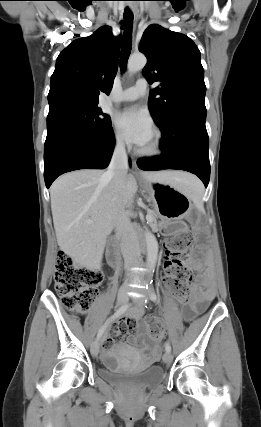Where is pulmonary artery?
I'll list each match as a JSON object with an SVG mask.
<instances>
[{
  "label": "pulmonary artery",
  "mask_w": 261,
  "mask_h": 427,
  "mask_svg": "<svg viewBox=\"0 0 261 427\" xmlns=\"http://www.w3.org/2000/svg\"><path fill=\"white\" fill-rule=\"evenodd\" d=\"M147 81L140 79L132 87H129L122 92L112 95L108 98L109 102L135 101L143 96L147 91Z\"/></svg>",
  "instance_id": "1"
}]
</instances>
